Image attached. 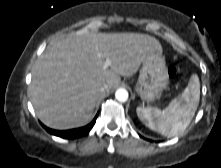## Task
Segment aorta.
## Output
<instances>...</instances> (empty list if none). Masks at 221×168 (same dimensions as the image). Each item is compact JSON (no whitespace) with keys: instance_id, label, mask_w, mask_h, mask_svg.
I'll return each instance as SVG.
<instances>
[{"instance_id":"obj_1","label":"aorta","mask_w":221,"mask_h":168,"mask_svg":"<svg viewBox=\"0 0 221 168\" xmlns=\"http://www.w3.org/2000/svg\"><path fill=\"white\" fill-rule=\"evenodd\" d=\"M115 97L120 102H125L128 99V92L125 89H118L115 93Z\"/></svg>"}]
</instances>
